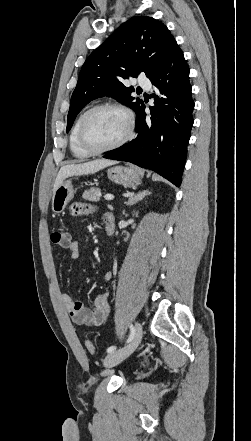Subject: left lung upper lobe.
<instances>
[{"label":"left lung upper lobe","instance_id":"5c2ea615","mask_svg":"<svg viewBox=\"0 0 251 441\" xmlns=\"http://www.w3.org/2000/svg\"><path fill=\"white\" fill-rule=\"evenodd\" d=\"M176 41L160 21L137 16L123 23L87 58L71 97L68 132L77 114L92 100L111 96L135 112L143 101L134 98L124 79L145 73L150 79L165 63Z\"/></svg>","mask_w":251,"mask_h":441}]
</instances>
